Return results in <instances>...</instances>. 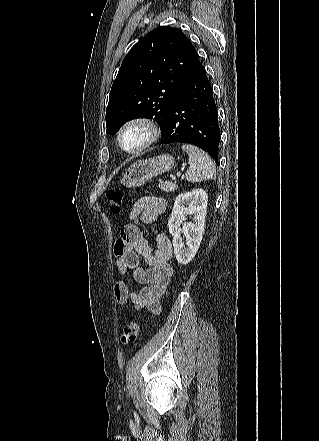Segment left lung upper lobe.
Wrapping results in <instances>:
<instances>
[{"label": "left lung upper lobe", "instance_id": "1", "mask_svg": "<svg viewBox=\"0 0 319 441\" xmlns=\"http://www.w3.org/2000/svg\"><path fill=\"white\" fill-rule=\"evenodd\" d=\"M199 64L197 51L178 28L161 26L140 39L112 85L107 134L135 118H154L162 132L182 84Z\"/></svg>", "mask_w": 319, "mask_h": 441}]
</instances>
